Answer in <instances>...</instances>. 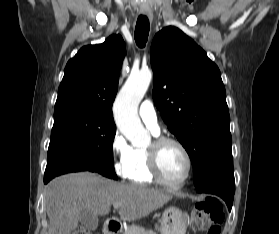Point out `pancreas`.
I'll return each mask as SVG.
<instances>
[{"mask_svg":"<svg viewBox=\"0 0 279 234\" xmlns=\"http://www.w3.org/2000/svg\"><path fill=\"white\" fill-rule=\"evenodd\" d=\"M123 234H156L152 231L145 230L144 227H140L137 225H132L127 228V230Z\"/></svg>","mask_w":279,"mask_h":234,"instance_id":"pancreas-1","label":"pancreas"}]
</instances>
